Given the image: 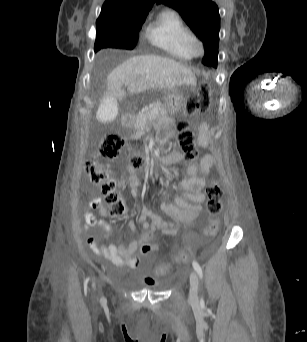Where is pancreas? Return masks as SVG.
<instances>
[{
    "mask_svg": "<svg viewBox=\"0 0 307 342\" xmlns=\"http://www.w3.org/2000/svg\"><path fill=\"white\" fill-rule=\"evenodd\" d=\"M165 104L163 102H153V104H149V106H146L144 112H140V114H137L135 124H134V130H137V132H143L148 118L150 119H163L165 117Z\"/></svg>",
    "mask_w": 307,
    "mask_h": 342,
    "instance_id": "pancreas-1",
    "label": "pancreas"
}]
</instances>
